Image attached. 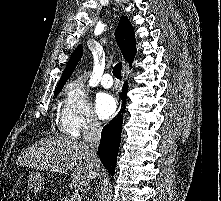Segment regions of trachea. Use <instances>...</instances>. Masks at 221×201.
<instances>
[{
	"instance_id": "1",
	"label": "trachea",
	"mask_w": 221,
	"mask_h": 201,
	"mask_svg": "<svg viewBox=\"0 0 221 201\" xmlns=\"http://www.w3.org/2000/svg\"><path fill=\"white\" fill-rule=\"evenodd\" d=\"M122 63H117L113 68V74L117 79L121 78Z\"/></svg>"
}]
</instances>
